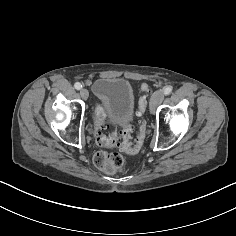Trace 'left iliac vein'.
I'll use <instances>...</instances> for the list:
<instances>
[{
	"label": "left iliac vein",
	"mask_w": 236,
	"mask_h": 236,
	"mask_svg": "<svg viewBox=\"0 0 236 236\" xmlns=\"http://www.w3.org/2000/svg\"><path fill=\"white\" fill-rule=\"evenodd\" d=\"M163 99H164V92L163 91L158 90L153 93V95L151 96V99H150V106H149L151 113L155 112L156 107L163 101Z\"/></svg>",
	"instance_id": "4c4485c4"
}]
</instances>
